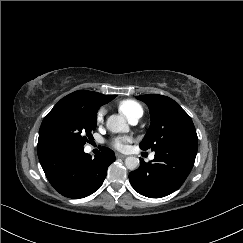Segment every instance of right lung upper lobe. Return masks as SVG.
<instances>
[{
    "label": "right lung upper lobe",
    "mask_w": 243,
    "mask_h": 243,
    "mask_svg": "<svg viewBox=\"0 0 243 243\" xmlns=\"http://www.w3.org/2000/svg\"><path fill=\"white\" fill-rule=\"evenodd\" d=\"M116 95H102L97 92L78 90L68 94L59 102L80 105L92 111H97L103 104L113 100Z\"/></svg>",
    "instance_id": "obj_1"
}]
</instances>
